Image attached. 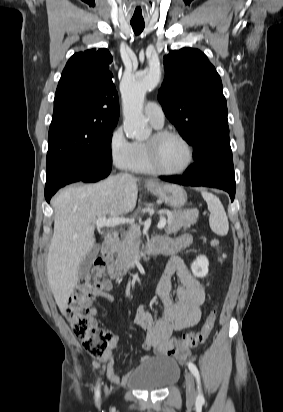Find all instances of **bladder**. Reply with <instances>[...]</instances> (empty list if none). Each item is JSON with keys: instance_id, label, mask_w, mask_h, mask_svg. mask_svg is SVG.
I'll list each match as a JSON object with an SVG mask.
<instances>
[{"instance_id": "bladder-1", "label": "bladder", "mask_w": 283, "mask_h": 412, "mask_svg": "<svg viewBox=\"0 0 283 412\" xmlns=\"http://www.w3.org/2000/svg\"><path fill=\"white\" fill-rule=\"evenodd\" d=\"M180 375L178 363L168 357L145 361L128 374L130 387L142 390H161L175 384Z\"/></svg>"}]
</instances>
